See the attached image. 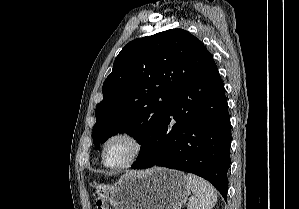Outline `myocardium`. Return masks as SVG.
<instances>
[{
	"label": "myocardium",
	"mask_w": 299,
	"mask_h": 209,
	"mask_svg": "<svg viewBox=\"0 0 299 209\" xmlns=\"http://www.w3.org/2000/svg\"><path fill=\"white\" fill-rule=\"evenodd\" d=\"M118 138H123V139H127L128 141H130L133 145V152L130 156V158L123 164L119 165V166H110L107 164L106 162V150L108 145L115 139ZM145 151V143L143 141V139L136 134L133 131H129V130H122V131H118L114 134H112L104 143V146L102 148V163L103 165L111 170H122L125 168H129L130 166H132L133 164H135L143 155Z\"/></svg>",
	"instance_id": "1"
}]
</instances>
